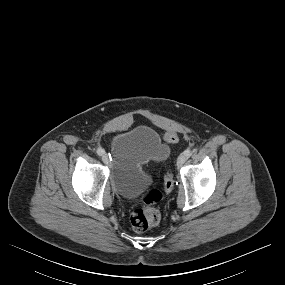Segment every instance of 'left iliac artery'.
<instances>
[{
	"instance_id": "left-iliac-artery-1",
	"label": "left iliac artery",
	"mask_w": 285,
	"mask_h": 285,
	"mask_svg": "<svg viewBox=\"0 0 285 285\" xmlns=\"http://www.w3.org/2000/svg\"><path fill=\"white\" fill-rule=\"evenodd\" d=\"M192 154V151L190 149H186L184 152H183V155L186 156L187 158L190 157Z\"/></svg>"
}]
</instances>
